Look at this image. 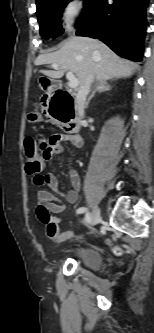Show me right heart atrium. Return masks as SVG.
I'll return each mask as SVG.
<instances>
[{
	"label": "right heart atrium",
	"instance_id": "obj_1",
	"mask_svg": "<svg viewBox=\"0 0 154 333\" xmlns=\"http://www.w3.org/2000/svg\"><path fill=\"white\" fill-rule=\"evenodd\" d=\"M80 0H67L60 10V24L67 32H73L83 24Z\"/></svg>",
	"mask_w": 154,
	"mask_h": 333
}]
</instances>
